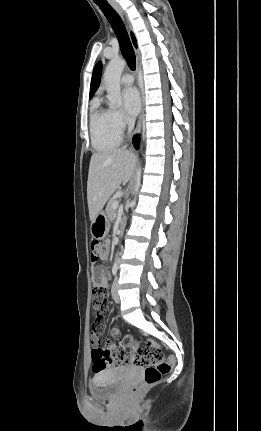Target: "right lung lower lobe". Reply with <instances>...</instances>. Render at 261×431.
I'll use <instances>...</instances> for the list:
<instances>
[{"label":"right lung lower lobe","instance_id":"right-lung-lower-lobe-1","mask_svg":"<svg viewBox=\"0 0 261 431\" xmlns=\"http://www.w3.org/2000/svg\"><path fill=\"white\" fill-rule=\"evenodd\" d=\"M139 143H140V138H139V136H138V135H135V136H134V138H133V145H134V147H135L136 149H138V148H139Z\"/></svg>","mask_w":261,"mask_h":431}]
</instances>
